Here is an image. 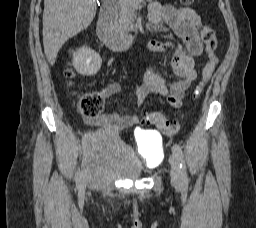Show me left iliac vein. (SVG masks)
<instances>
[{
    "label": "left iliac vein",
    "mask_w": 256,
    "mask_h": 228,
    "mask_svg": "<svg viewBox=\"0 0 256 228\" xmlns=\"http://www.w3.org/2000/svg\"><path fill=\"white\" fill-rule=\"evenodd\" d=\"M169 162L171 165V183L174 186H180L181 184V170H180V163L179 158L175 153H172L169 158Z\"/></svg>",
    "instance_id": "obj_1"
}]
</instances>
